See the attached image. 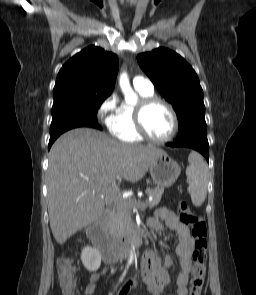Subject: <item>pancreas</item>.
<instances>
[{"instance_id": "cf45deb5", "label": "pancreas", "mask_w": 256, "mask_h": 295, "mask_svg": "<svg viewBox=\"0 0 256 295\" xmlns=\"http://www.w3.org/2000/svg\"><path fill=\"white\" fill-rule=\"evenodd\" d=\"M146 194L153 197L152 201L145 202L136 201L134 199L119 200L115 203L114 209L108 217L107 229L109 234L116 240L121 239L122 236L130 230L132 223V209L133 208H154L161 200L164 192L163 187L147 188Z\"/></svg>"}]
</instances>
